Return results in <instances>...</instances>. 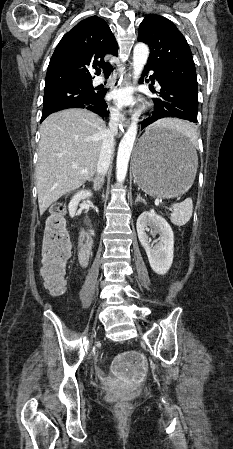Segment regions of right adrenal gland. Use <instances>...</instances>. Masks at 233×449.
Returning <instances> with one entry per match:
<instances>
[{
	"instance_id": "obj_1",
	"label": "right adrenal gland",
	"mask_w": 233,
	"mask_h": 449,
	"mask_svg": "<svg viewBox=\"0 0 233 449\" xmlns=\"http://www.w3.org/2000/svg\"><path fill=\"white\" fill-rule=\"evenodd\" d=\"M88 181H92L93 182V189L95 191H99L104 183V177H96V178H90L88 179Z\"/></svg>"
}]
</instances>
